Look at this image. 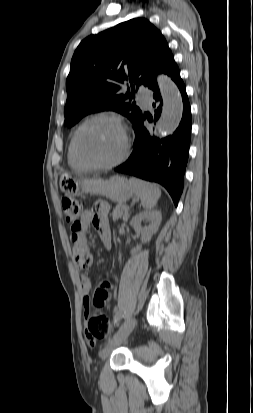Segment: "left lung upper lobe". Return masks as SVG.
Returning a JSON list of instances; mask_svg holds the SVG:
<instances>
[{
  "mask_svg": "<svg viewBox=\"0 0 253 413\" xmlns=\"http://www.w3.org/2000/svg\"><path fill=\"white\" fill-rule=\"evenodd\" d=\"M161 32L145 18L122 22L85 38L75 50L66 81L65 124L87 114L113 110L132 123L142 114L131 103L135 85L150 86L172 57ZM130 82L132 91L123 90Z\"/></svg>",
  "mask_w": 253,
  "mask_h": 413,
  "instance_id": "obj_1",
  "label": "left lung upper lobe"
}]
</instances>
